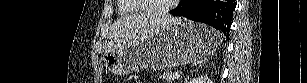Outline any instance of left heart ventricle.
<instances>
[{
  "mask_svg": "<svg viewBox=\"0 0 307 83\" xmlns=\"http://www.w3.org/2000/svg\"><path fill=\"white\" fill-rule=\"evenodd\" d=\"M170 1L171 0H145L144 3L149 10H157L160 7L167 5Z\"/></svg>",
  "mask_w": 307,
  "mask_h": 83,
  "instance_id": "left-heart-ventricle-1",
  "label": "left heart ventricle"
}]
</instances>
